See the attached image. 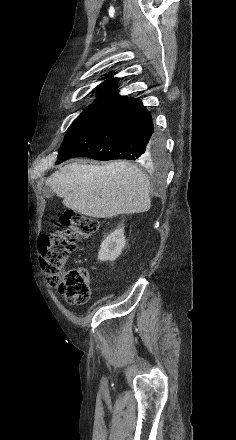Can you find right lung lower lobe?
<instances>
[{"mask_svg": "<svg viewBox=\"0 0 236 440\" xmlns=\"http://www.w3.org/2000/svg\"><path fill=\"white\" fill-rule=\"evenodd\" d=\"M150 113L139 99L112 109L60 147L57 164L72 157L146 162L155 147Z\"/></svg>", "mask_w": 236, "mask_h": 440, "instance_id": "obj_1", "label": "right lung lower lobe"}]
</instances>
